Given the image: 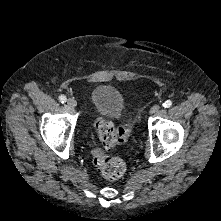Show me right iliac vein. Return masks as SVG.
Wrapping results in <instances>:
<instances>
[{
  "mask_svg": "<svg viewBox=\"0 0 221 221\" xmlns=\"http://www.w3.org/2000/svg\"><path fill=\"white\" fill-rule=\"evenodd\" d=\"M67 105L69 106V108H75L77 106V102L75 99L70 98L67 101Z\"/></svg>",
  "mask_w": 221,
  "mask_h": 221,
  "instance_id": "right-iliac-vein-1",
  "label": "right iliac vein"
}]
</instances>
